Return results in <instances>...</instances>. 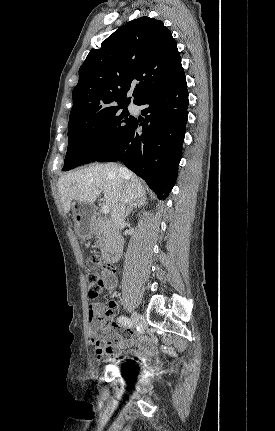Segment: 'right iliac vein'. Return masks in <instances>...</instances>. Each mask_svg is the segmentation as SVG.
<instances>
[{"instance_id": "63e3f726", "label": "right iliac vein", "mask_w": 275, "mask_h": 431, "mask_svg": "<svg viewBox=\"0 0 275 431\" xmlns=\"http://www.w3.org/2000/svg\"><path fill=\"white\" fill-rule=\"evenodd\" d=\"M131 319H132V325L133 326H135V325H137V323H138V321H139V319H140V314L139 313H137V312H134L133 314H132V316H131Z\"/></svg>"}]
</instances>
